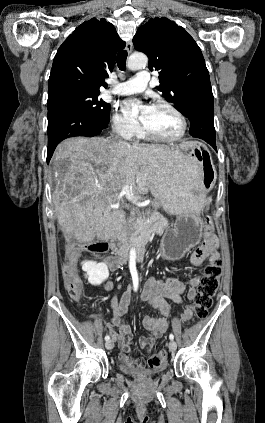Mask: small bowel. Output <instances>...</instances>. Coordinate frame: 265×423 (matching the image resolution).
Here are the masks:
<instances>
[{"label": "small bowel", "mask_w": 265, "mask_h": 423, "mask_svg": "<svg viewBox=\"0 0 265 423\" xmlns=\"http://www.w3.org/2000/svg\"><path fill=\"white\" fill-rule=\"evenodd\" d=\"M218 240L215 235L206 238L204 243L199 246L191 256V263L195 267H200L202 263L208 259L210 262L219 257L217 252ZM74 262V261H73ZM105 263L110 271L117 269L122 264L115 256H108ZM202 275H196L190 280V288L187 291L188 303L185 304L184 310L181 314V321L186 322L193 316V300L197 295V288L200 285ZM114 285L112 281H106L104 288L106 291H111ZM186 287L183 282L172 278L150 279L147 287L141 292L140 300L148 304L155 310L157 316L146 315L143 319V326L148 332L139 340L140 347L145 352H150L156 341L168 329L166 316L171 314L170 306L165 302L164 298L170 299L177 304L183 303V295ZM131 287L127 286L123 294L121 303L117 302V294L111 299L112 315L110 319V332L114 339L119 342L120 360L129 366L141 367L143 360H132L130 357L131 345L133 341L132 330L127 324L123 316L127 310L130 301Z\"/></svg>", "instance_id": "c3829d8e"}]
</instances>
